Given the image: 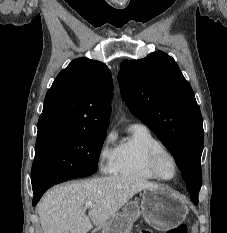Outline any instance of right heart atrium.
Masks as SVG:
<instances>
[{"label":"right heart atrium","mask_w":227,"mask_h":233,"mask_svg":"<svg viewBox=\"0 0 227 233\" xmlns=\"http://www.w3.org/2000/svg\"><path fill=\"white\" fill-rule=\"evenodd\" d=\"M115 134L113 131H108L97 151V162L99 169L102 173H110L114 168L115 161V147H114Z\"/></svg>","instance_id":"1"}]
</instances>
